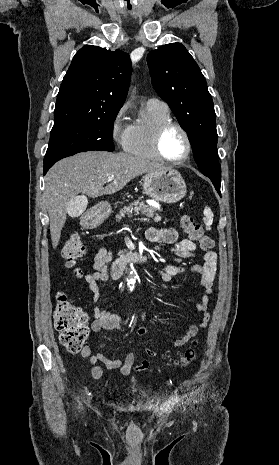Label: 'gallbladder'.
Instances as JSON below:
<instances>
[{"mask_svg": "<svg viewBox=\"0 0 279 465\" xmlns=\"http://www.w3.org/2000/svg\"><path fill=\"white\" fill-rule=\"evenodd\" d=\"M85 210V200L83 196L72 198L68 203V214L71 218L79 217Z\"/></svg>", "mask_w": 279, "mask_h": 465, "instance_id": "1", "label": "gallbladder"}]
</instances>
